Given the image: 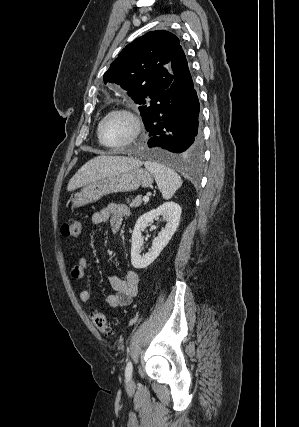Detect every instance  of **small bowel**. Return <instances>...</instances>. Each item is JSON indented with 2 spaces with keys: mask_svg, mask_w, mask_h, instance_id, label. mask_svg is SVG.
Masks as SVG:
<instances>
[{
  "mask_svg": "<svg viewBox=\"0 0 299 427\" xmlns=\"http://www.w3.org/2000/svg\"><path fill=\"white\" fill-rule=\"evenodd\" d=\"M129 215L130 211L126 205L110 203L105 208L93 214L92 223L102 225L109 221L112 232H117L121 227L123 219ZM87 267V259L84 257L79 258L71 268V276L75 280L83 279ZM108 280L110 285L116 290L115 294L109 295L104 299L109 307L127 306L136 298L140 282L139 274L136 271H128L123 279L116 275H110ZM80 299L85 305L92 304V295L88 290L80 292Z\"/></svg>",
  "mask_w": 299,
  "mask_h": 427,
  "instance_id": "obj_1",
  "label": "small bowel"
}]
</instances>
